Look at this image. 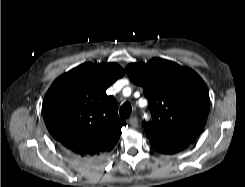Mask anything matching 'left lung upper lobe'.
<instances>
[{"label":"left lung upper lobe","mask_w":245,"mask_h":187,"mask_svg":"<svg viewBox=\"0 0 245 187\" xmlns=\"http://www.w3.org/2000/svg\"><path fill=\"white\" fill-rule=\"evenodd\" d=\"M127 74L143 87L149 99L152 122H143L150 141L163 144L192 143L199 136L209 113V93L193 70L172 61L153 58L131 63Z\"/></svg>","instance_id":"5c2ea615"}]
</instances>
